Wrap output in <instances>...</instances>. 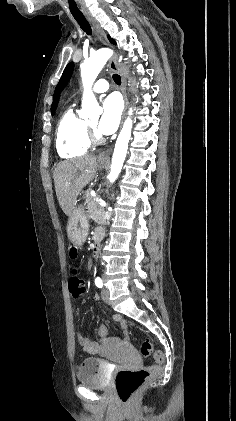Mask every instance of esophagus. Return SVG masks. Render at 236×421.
<instances>
[{"label": "esophagus", "mask_w": 236, "mask_h": 421, "mask_svg": "<svg viewBox=\"0 0 236 421\" xmlns=\"http://www.w3.org/2000/svg\"><path fill=\"white\" fill-rule=\"evenodd\" d=\"M85 18L92 25L93 30H94L98 40L104 45L108 44L107 40H106V35H105L104 31L102 30V28L100 27L99 23L92 16L87 15ZM109 66H110L111 70L117 71L119 73V75L121 77V81H122L121 92H122V95H123V98H124V111H123V115H122V123H123V120H124V117H125V112H126L127 105H128V99H127V94H126V79H125V76H124L122 70L118 66L116 54H114L110 58ZM111 152H112V147H110L107 150L100 153L99 156H98V160L109 161Z\"/></svg>", "instance_id": "esophagus-1"}]
</instances>
